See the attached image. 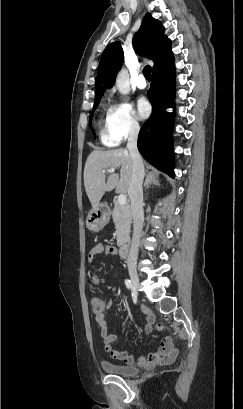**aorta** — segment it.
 Listing matches in <instances>:
<instances>
[{
	"label": "aorta",
	"instance_id": "1",
	"mask_svg": "<svg viewBox=\"0 0 243 409\" xmlns=\"http://www.w3.org/2000/svg\"><path fill=\"white\" fill-rule=\"evenodd\" d=\"M116 87L122 95H127L130 91L129 75L126 69H121L116 77Z\"/></svg>",
	"mask_w": 243,
	"mask_h": 409
}]
</instances>
